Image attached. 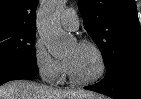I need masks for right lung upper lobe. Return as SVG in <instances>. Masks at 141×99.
Returning <instances> with one entry per match:
<instances>
[{"label":"right lung upper lobe","instance_id":"right-lung-upper-lobe-1","mask_svg":"<svg viewBox=\"0 0 141 99\" xmlns=\"http://www.w3.org/2000/svg\"><path fill=\"white\" fill-rule=\"evenodd\" d=\"M38 0H0V27L35 26Z\"/></svg>","mask_w":141,"mask_h":99}]
</instances>
